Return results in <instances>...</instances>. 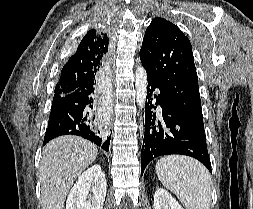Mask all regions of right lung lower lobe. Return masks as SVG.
<instances>
[{"label":"right lung lower lobe","mask_w":253,"mask_h":209,"mask_svg":"<svg viewBox=\"0 0 253 209\" xmlns=\"http://www.w3.org/2000/svg\"><path fill=\"white\" fill-rule=\"evenodd\" d=\"M95 85L94 79L70 93L54 95L44 145L58 136L76 135L109 150L111 135L95 119L94 111L87 112L93 109Z\"/></svg>","instance_id":"obj_1"}]
</instances>
